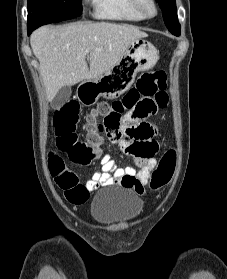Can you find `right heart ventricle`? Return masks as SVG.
<instances>
[{
	"label": "right heart ventricle",
	"instance_id": "right-heart-ventricle-1",
	"mask_svg": "<svg viewBox=\"0 0 227 279\" xmlns=\"http://www.w3.org/2000/svg\"><path fill=\"white\" fill-rule=\"evenodd\" d=\"M95 5V17L127 22L142 21L134 0H92Z\"/></svg>",
	"mask_w": 227,
	"mask_h": 279
}]
</instances>
